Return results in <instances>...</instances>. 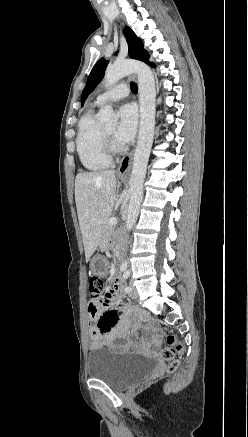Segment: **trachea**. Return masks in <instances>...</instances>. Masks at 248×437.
I'll use <instances>...</instances> for the list:
<instances>
[{
	"label": "trachea",
	"instance_id": "trachea-1",
	"mask_svg": "<svg viewBox=\"0 0 248 437\" xmlns=\"http://www.w3.org/2000/svg\"><path fill=\"white\" fill-rule=\"evenodd\" d=\"M131 90H132L134 93H137V84H136V83H134V82L131 83Z\"/></svg>",
	"mask_w": 248,
	"mask_h": 437
}]
</instances>
